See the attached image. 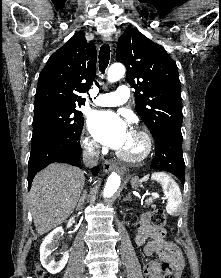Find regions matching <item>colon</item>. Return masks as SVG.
<instances>
[{"label": "colon", "instance_id": "colon-1", "mask_svg": "<svg viewBox=\"0 0 221 278\" xmlns=\"http://www.w3.org/2000/svg\"><path fill=\"white\" fill-rule=\"evenodd\" d=\"M150 222L157 227H165L166 226V216L160 209L153 210L150 214ZM164 278H175L176 272L175 267L169 263L164 262L161 266ZM36 275L38 278H49V276L41 269H37Z\"/></svg>", "mask_w": 221, "mask_h": 278}]
</instances>
